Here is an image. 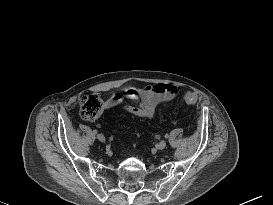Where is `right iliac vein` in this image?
<instances>
[{"instance_id":"1","label":"right iliac vein","mask_w":273,"mask_h":205,"mask_svg":"<svg viewBox=\"0 0 273 205\" xmlns=\"http://www.w3.org/2000/svg\"><path fill=\"white\" fill-rule=\"evenodd\" d=\"M97 139L100 141V142H105V137L103 134H98L97 135Z\"/></svg>"}]
</instances>
